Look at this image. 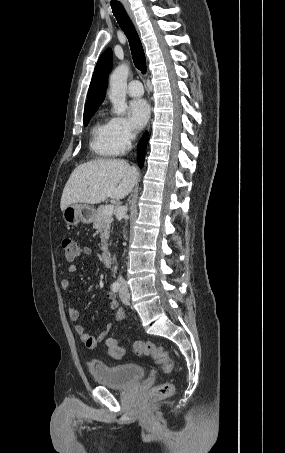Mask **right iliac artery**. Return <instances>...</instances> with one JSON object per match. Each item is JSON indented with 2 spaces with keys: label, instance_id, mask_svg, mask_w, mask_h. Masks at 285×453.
<instances>
[{
  "label": "right iliac artery",
  "instance_id": "right-iliac-artery-1",
  "mask_svg": "<svg viewBox=\"0 0 285 453\" xmlns=\"http://www.w3.org/2000/svg\"><path fill=\"white\" fill-rule=\"evenodd\" d=\"M112 290L114 292H117L119 290V283L117 281H115L113 284H112Z\"/></svg>",
  "mask_w": 285,
  "mask_h": 453
}]
</instances>
